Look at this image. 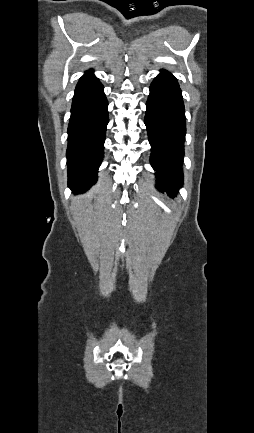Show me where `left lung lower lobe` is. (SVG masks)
I'll use <instances>...</instances> for the list:
<instances>
[{
	"label": "left lung lower lobe",
	"mask_w": 254,
	"mask_h": 433,
	"mask_svg": "<svg viewBox=\"0 0 254 433\" xmlns=\"http://www.w3.org/2000/svg\"><path fill=\"white\" fill-rule=\"evenodd\" d=\"M145 125L152 147L150 162L159 191L176 194L183 185L182 163L186 134L182 93L176 78L162 71L152 82Z\"/></svg>",
	"instance_id": "0a47b994"
}]
</instances>
